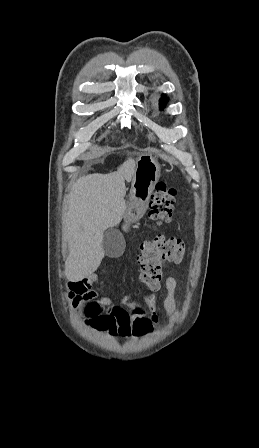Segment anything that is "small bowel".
<instances>
[{"instance_id":"1","label":"small bowel","mask_w":259,"mask_h":448,"mask_svg":"<svg viewBox=\"0 0 259 448\" xmlns=\"http://www.w3.org/2000/svg\"><path fill=\"white\" fill-rule=\"evenodd\" d=\"M93 285H102L97 274H90L70 283L68 293L71 305L79 311L89 326L105 331L111 337H140L152 331L158 322L155 296H148L144 306L127 299L116 304L111 298L100 296ZM165 285L168 294L163 306L166 318L171 323L180 313V303L175 296L177 283L173 277H168ZM123 305H127L128 309Z\"/></svg>"}]
</instances>
